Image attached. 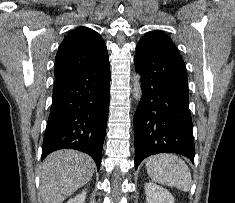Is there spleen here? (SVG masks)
I'll return each mask as SVG.
<instances>
[{"label": "spleen", "instance_id": "obj_1", "mask_svg": "<svg viewBox=\"0 0 235 203\" xmlns=\"http://www.w3.org/2000/svg\"><path fill=\"white\" fill-rule=\"evenodd\" d=\"M148 176L162 185L189 191L192 185L191 172L187 164L173 154H158L146 159Z\"/></svg>", "mask_w": 235, "mask_h": 203}]
</instances>
